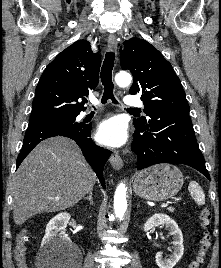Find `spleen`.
<instances>
[{
	"instance_id": "obj_1",
	"label": "spleen",
	"mask_w": 221,
	"mask_h": 268,
	"mask_svg": "<svg viewBox=\"0 0 221 268\" xmlns=\"http://www.w3.org/2000/svg\"><path fill=\"white\" fill-rule=\"evenodd\" d=\"M189 191L194 195V200L199 205L205 204V195L202 188L195 181H191L189 184Z\"/></svg>"
}]
</instances>
